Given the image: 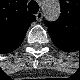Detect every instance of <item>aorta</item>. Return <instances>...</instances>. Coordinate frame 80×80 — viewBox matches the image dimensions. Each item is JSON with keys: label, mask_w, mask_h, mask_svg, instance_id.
Returning <instances> with one entry per match:
<instances>
[{"label": "aorta", "mask_w": 80, "mask_h": 80, "mask_svg": "<svg viewBox=\"0 0 80 80\" xmlns=\"http://www.w3.org/2000/svg\"><path fill=\"white\" fill-rule=\"evenodd\" d=\"M60 15V6L57 3H54L53 5H49L45 8V17L49 21H55L58 19Z\"/></svg>", "instance_id": "1"}]
</instances>
